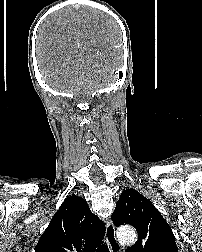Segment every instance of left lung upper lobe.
Instances as JSON below:
<instances>
[{
    "label": "left lung upper lobe",
    "mask_w": 202,
    "mask_h": 252,
    "mask_svg": "<svg viewBox=\"0 0 202 252\" xmlns=\"http://www.w3.org/2000/svg\"><path fill=\"white\" fill-rule=\"evenodd\" d=\"M116 226L130 224L138 240L126 252H178L171 227L155 206L138 191L124 190L112 214Z\"/></svg>",
    "instance_id": "5c2ea615"
}]
</instances>
